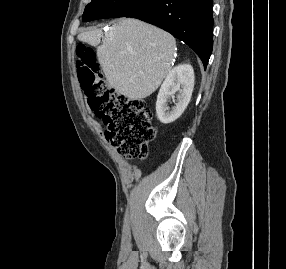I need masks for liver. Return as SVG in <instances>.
<instances>
[{
    "instance_id": "6515ba94",
    "label": "liver",
    "mask_w": 286,
    "mask_h": 269,
    "mask_svg": "<svg viewBox=\"0 0 286 269\" xmlns=\"http://www.w3.org/2000/svg\"><path fill=\"white\" fill-rule=\"evenodd\" d=\"M93 29L78 39L97 47L108 84L131 100L150 96L171 70L176 42L172 35L133 18L119 19L105 33Z\"/></svg>"
}]
</instances>
